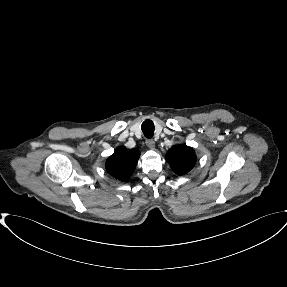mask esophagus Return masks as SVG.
<instances>
[{"label": "esophagus", "mask_w": 287, "mask_h": 287, "mask_svg": "<svg viewBox=\"0 0 287 287\" xmlns=\"http://www.w3.org/2000/svg\"><path fill=\"white\" fill-rule=\"evenodd\" d=\"M146 145L150 148V149H154L155 148V142L152 139H147L146 140Z\"/></svg>", "instance_id": "esophagus-1"}]
</instances>
